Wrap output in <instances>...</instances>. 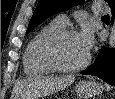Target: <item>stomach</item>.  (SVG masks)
<instances>
[{"mask_svg": "<svg viewBox=\"0 0 115 99\" xmlns=\"http://www.w3.org/2000/svg\"><path fill=\"white\" fill-rule=\"evenodd\" d=\"M102 90L103 86L93 81H81L75 87L77 95L84 99L94 97L96 94L102 92Z\"/></svg>", "mask_w": 115, "mask_h": 99, "instance_id": "0dacf381", "label": "stomach"}]
</instances>
